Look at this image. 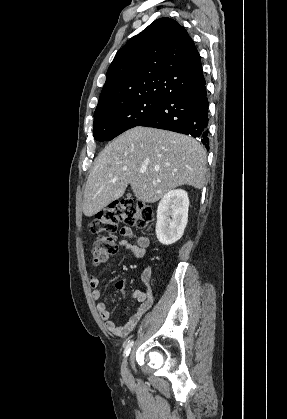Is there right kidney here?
I'll return each instance as SVG.
<instances>
[{"label": "right kidney", "mask_w": 287, "mask_h": 419, "mask_svg": "<svg viewBox=\"0 0 287 419\" xmlns=\"http://www.w3.org/2000/svg\"><path fill=\"white\" fill-rule=\"evenodd\" d=\"M189 198L182 189L172 190L158 204L156 236L163 245L178 241L187 225Z\"/></svg>", "instance_id": "ca27d5eb"}]
</instances>
